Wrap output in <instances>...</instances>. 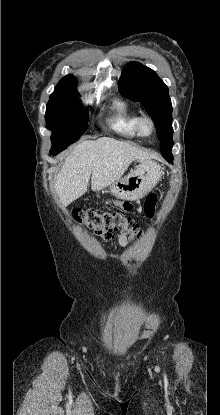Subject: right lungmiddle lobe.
Here are the masks:
<instances>
[{
	"label": "right lung middle lobe",
	"mask_w": 220,
	"mask_h": 415,
	"mask_svg": "<svg viewBox=\"0 0 220 415\" xmlns=\"http://www.w3.org/2000/svg\"><path fill=\"white\" fill-rule=\"evenodd\" d=\"M79 94L53 93L47 104L45 120L52 131V152L59 153L86 131L89 111L82 110Z\"/></svg>",
	"instance_id": "obj_1"
}]
</instances>
